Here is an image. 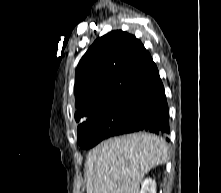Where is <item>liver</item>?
Here are the masks:
<instances>
[{
  "instance_id": "1",
  "label": "liver",
  "mask_w": 221,
  "mask_h": 193,
  "mask_svg": "<svg viewBox=\"0 0 221 193\" xmlns=\"http://www.w3.org/2000/svg\"><path fill=\"white\" fill-rule=\"evenodd\" d=\"M167 160V143L154 134L134 133L105 140L87 156V193H139L145 174Z\"/></svg>"
}]
</instances>
